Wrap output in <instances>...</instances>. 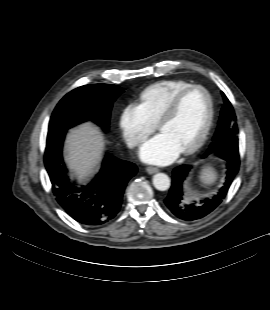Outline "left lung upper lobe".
Returning a JSON list of instances; mask_svg holds the SVG:
<instances>
[{"label": "left lung upper lobe", "instance_id": "left-lung-upper-lobe-1", "mask_svg": "<svg viewBox=\"0 0 270 310\" xmlns=\"http://www.w3.org/2000/svg\"><path fill=\"white\" fill-rule=\"evenodd\" d=\"M222 95L224 98V106L221 110L218 128L213 137V142L203 157L215 153L224 158L229 154L238 153V130L237 124L235 123L236 118L234 110L227 97L223 93Z\"/></svg>", "mask_w": 270, "mask_h": 310}]
</instances>
